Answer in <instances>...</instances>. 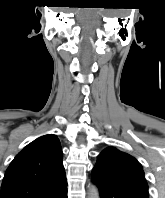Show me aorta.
Wrapping results in <instances>:
<instances>
[{"mask_svg":"<svg viewBox=\"0 0 165 198\" xmlns=\"http://www.w3.org/2000/svg\"><path fill=\"white\" fill-rule=\"evenodd\" d=\"M88 197L89 198H99V191L95 185L89 186Z\"/></svg>","mask_w":165,"mask_h":198,"instance_id":"1","label":"aorta"}]
</instances>
